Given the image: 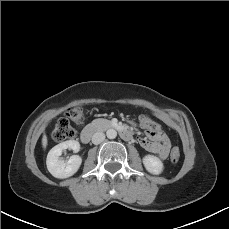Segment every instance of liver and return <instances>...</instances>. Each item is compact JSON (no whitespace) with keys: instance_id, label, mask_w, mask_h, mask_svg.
<instances>
[{"instance_id":"liver-1","label":"liver","mask_w":229,"mask_h":229,"mask_svg":"<svg viewBox=\"0 0 229 229\" xmlns=\"http://www.w3.org/2000/svg\"><path fill=\"white\" fill-rule=\"evenodd\" d=\"M47 143H48L47 136L44 134L43 137H42V147H43V149L46 148Z\"/></svg>"}]
</instances>
